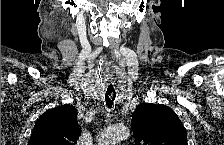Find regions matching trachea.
<instances>
[{
    "label": "trachea",
    "mask_w": 224,
    "mask_h": 145,
    "mask_svg": "<svg viewBox=\"0 0 224 145\" xmlns=\"http://www.w3.org/2000/svg\"><path fill=\"white\" fill-rule=\"evenodd\" d=\"M112 83H113V80L110 83V85H108V88H107L106 93H105V101H106V105H107L108 108L112 107L113 102H114L115 97H116V92H115V89H114V86H113Z\"/></svg>",
    "instance_id": "3493384b"
}]
</instances>
